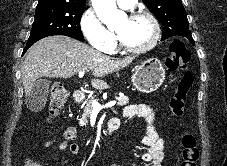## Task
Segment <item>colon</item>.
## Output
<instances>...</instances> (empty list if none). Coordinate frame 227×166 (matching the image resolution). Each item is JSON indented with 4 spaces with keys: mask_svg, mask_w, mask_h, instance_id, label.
<instances>
[{
    "mask_svg": "<svg viewBox=\"0 0 227 166\" xmlns=\"http://www.w3.org/2000/svg\"><path fill=\"white\" fill-rule=\"evenodd\" d=\"M190 60V51L181 40H175L170 45V57L167 61V67L170 71L185 68ZM194 81L193 74L185 71L181 76L177 87L170 99L169 107L171 113L181 119L185 113V103L187 94L192 87ZM68 100L67 90L60 86L54 85L50 89V105L49 111L51 117L59 114ZM181 156L182 160L179 166H197L199 150L196 138L189 132H185L181 137ZM25 166H41V163L35 160H29Z\"/></svg>",
    "mask_w": 227,
    "mask_h": 166,
    "instance_id": "5ec220e1",
    "label": "colon"
}]
</instances>
